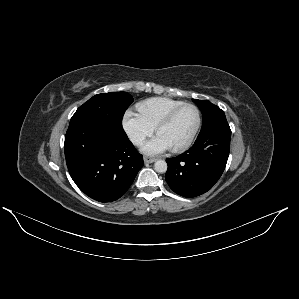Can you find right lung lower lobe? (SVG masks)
<instances>
[{
    "label": "right lung lower lobe",
    "mask_w": 299,
    "mask_h": 299,
    "mask_svg": "<svg viewBox=\"0 0 299 299\" xmlns=\"http://www.w3.org/2000/svg\"><path fill=\"white\" fill-rule=\"evenodd\" d=\"M64 151L73 181L99 202L120 198L144 165L126 133L106 123L69 125Z\"/></svg>",
    "instance_id": "right-lung-lower-lobe-1"
}]
</instances>
